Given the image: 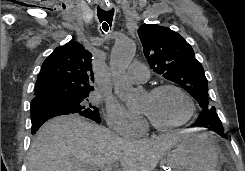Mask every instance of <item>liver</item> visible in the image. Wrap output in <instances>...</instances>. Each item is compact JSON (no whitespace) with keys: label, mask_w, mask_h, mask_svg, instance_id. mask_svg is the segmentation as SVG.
I'll use <instances>...</instances> for the list:
<instances>
[{"label":"liver","mask_w":245,"mask_h":171,"mask_svg":"<svg viewBox=\"0 0 245 171\" xmlns=\"http://www.w3.org/2000/svg\"><path fill=\"white\" fill-rule=\"evenodd\" d=\"M183 134L130 141L77 115L49 120L30 149L28 171H94L116 161L118 171H153Z\"/></svg>","instance_id":"obj_1"}]
</instances>
